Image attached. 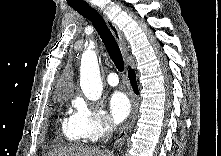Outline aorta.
Listing matches in <instances>:
<instances>
[{"mask_svg": "<svg viewBox=\"0 0 221 156\" xmlns=\"http://www.w3.org/2000/svg\"><path fill=\"white\" fill-rule=\"evenodd\" d=\"M80 87L85 97L91 101H97L102 95L103 86L100 78V70L92 44L82 55Z\"/></svg>", "mask_w": 221, "mask_h": 156, "instance_id": "obj_1", "label": "aorta"}]
</instances>
